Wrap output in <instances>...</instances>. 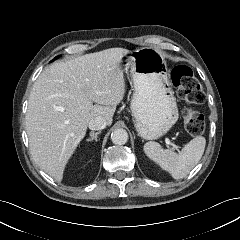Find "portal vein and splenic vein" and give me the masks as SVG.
Returning a JSON list of instances; mask_svg holds the SVG:
<instances>
[{
    "label": "portal vein and splenic vein",
    "mask_w": 240,
    "mask_h": 240,
    "mask_svg": "<svg viewBox=\"0 0 240 240\" xmlns=\"http://www.w3.org/2000/svg\"><path fill=\"white\" fill-rule=\"evenodd\" d=\"M165 143L167 146L172 145L174 148H176V145L172 144L168 138H165Z\"/></svg>",
    "instance_id": "1"
}]
</instances>
